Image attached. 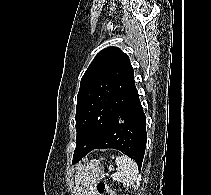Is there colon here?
<instances>
[{"instance_id": "obj_1", "label": "colon", "mask_w": 211, "mask_h": 195, "mask_svg": "<svg viewBox=\"0 0 211 195\" xmlns=\"http://www.w3.org/2000/svg\"><path fill=\"white\" fill-rule=\"evenodd\" d=\"M95 192L97 195H114L112 190L102 181L96 183Z\"/></svg>"}]
</instances>
